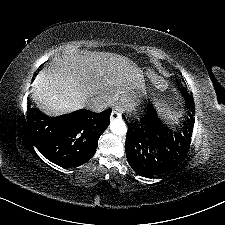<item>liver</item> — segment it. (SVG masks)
<instances>
[{
	"instance_id": "liver-1",
	"label": "liver",
	"mask_w": 225,
	"mask_h": 225,
	"mask_svg": "<svg viewBox=\"0 0 225 225\" xmlns=\"http://www.w3.org/2000/svg\"><path fill=\"white\" fill-rule=\"evenodd\" d=\"M139 71L133 61L118 54L67 52L52 58L39 73L33 99L44 113L57 116L84 108L92 99L102 100L101 94L115 87L121 105L131 106L137 98Z\"/></svg>"
}]
</instances>
